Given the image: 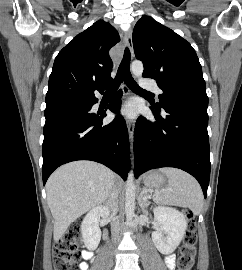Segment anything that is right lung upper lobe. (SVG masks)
I'll use <instances>...</instances> for the list:
<instances>
[{
	"label": "right lung upper lobe",
	"mask_w": 242,
	"mask_h": 270,
	"mask_svg": "<svg viewBox=\"0 0 242 270\" xmlns=\"http://www.w3.org/2000/svg\"><path fill=\"white\" fill-rule=\"evenodd\" d=\"M120 41L109 23L99 20L78 34L55 58L46 107L95 97L112 80L109 50Z\"/></svg>",
	"instance_id": "cb5924a9"
}]
</instances>
